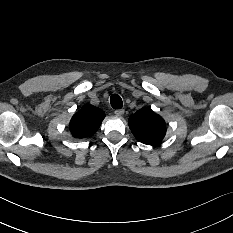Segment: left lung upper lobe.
<instances>
[{"mask_svg": "<svg viewBox=\"0 0 233 233\" xmlns=\"http://www.w3.org/2000/svg\"><path fill=\"white\" fill-rule=\"evenodd\" d=\"M129 127L137 140L154 145L160 142L166 133L165 121L148 108H142L129 117Z\"/></svg>", "mask_w": 233, "mask_h": 233, "instance_id": "5c2ea615", "label": "left lung upper lobe"}]
</instances>
